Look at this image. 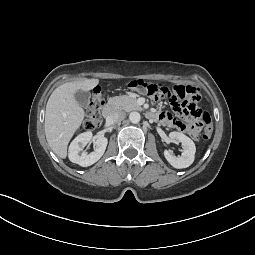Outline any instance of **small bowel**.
Instances as JSON below:
<instances>
[{"instance_id": "c3829d8e", "label": "small bowel", "mask_w": 255, "mask_h": 255, "mask_svg": "<svg viewBox=\"0 0 255 255\" xmlns=\"http://www.w3.org/2000/svg\"><path fill=\"white\" fill-rule=\"evenodd\" d=\"M174 110L177 112V109L174 106ZM178 113V112H177ZM155 118L159 120V122L169 128H175L181 132H185L188 134L199 133L200 127L198 124L192 122L191 120H180L175 118L169 112H161L154 113Z\"/></svg>"}]
</instances>
